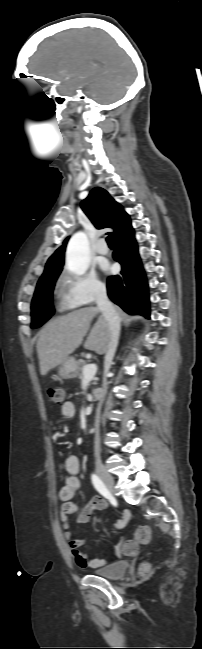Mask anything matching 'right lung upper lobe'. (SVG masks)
<instances>
[{"mask_svg": "<svg viewBox=\"0 0 202 649\" xmlns=\"http://www.w3.org/2000/svg\"><path fill=\"white\" fill-rule=\"evenodd\" d=\"M81 208L97 229L112 228L114 239L132 229L130 217L123 207L100 187L94 188L89 193L88 197L81 202ZM68 238L48 259L42 276L61 272Z\"/></svg>", "mask_w": 202, "mask_h": 649, "instance_id": "obj_1", "label": "right lung upper lobe"}]
</instances>
